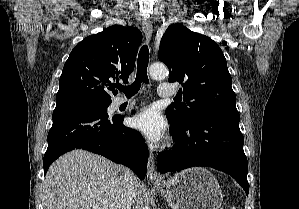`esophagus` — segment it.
<instances>
[{
    "instance_id": "34e87169",
    "label": "esophagus",
    "mask_w": 299,
    "mask_h": 209,
    "mask_svg": "<svg viewBox=\"0 0 299 209\" xmlns=\"http://www.w3.org/2000/svg\"><path fill=\"white\" fill-rule=\"evenodd\" d=\"M142 29L146 37V41L149 42L152 37L153 33V25L150 20L144 19L142 22ZM147 177L150 180H161L160 176L158 175L155 167V160H154V154L151 151L148 158V164H147Z\"/></svg>"
}]
</instances>
